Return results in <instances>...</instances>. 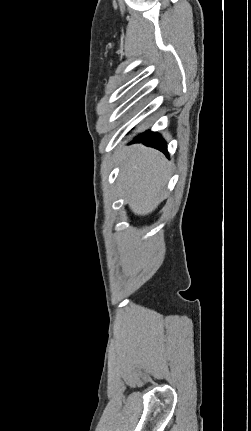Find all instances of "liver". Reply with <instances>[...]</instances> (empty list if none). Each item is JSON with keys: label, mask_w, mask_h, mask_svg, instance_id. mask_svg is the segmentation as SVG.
Wrapping results in <instances>:
<instances>
[{"label": "liver", "mask_w": 251, "mask_h": 431, "mask_svg": "<svg viewBox=\"0 0 251 431\" xmlns=\"http://www.w3.org/2000/svg\"><path fill=\"white\" fill-rule=\"evenodd\" d=\"M119 186L132 212L147 215L162 202L170 166L157 150L132 145L118 155Z\"/></svg>", "instance_id": "1"}]
</instances>
